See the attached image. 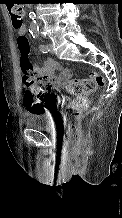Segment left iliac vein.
<instances>
[{
  "label": "left iliac vein",
  "mask_w": 122,
  "mask_h": 218,
  "mask_svg": "<svg viewBox=\"0 0 122 218\" xmlns=\"http://www.w3.org/2000/svg\"><path fill=\"white\" fill-rule=\"evenodd\" d=\"M47 47H48V51H49L50 53H52V52H53V46H52V44H51V43L47 44Z\"/></svg>",
  "instance_id": "left-iliac-vein-1"
}]
</instances>
